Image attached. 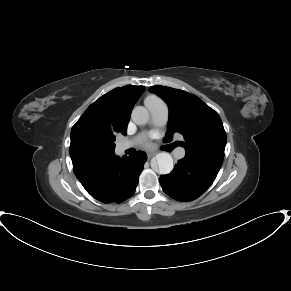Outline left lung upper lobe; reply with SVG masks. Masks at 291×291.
Returning a JSON list of instances; mask_svg holds the SVG:
<instances>
[{
	"instance_id": "obj_1",
	"label": "left lung upper lobe",
	"mask_w": 291,
	"mask_h": 291,
	"mask_svg": "<svg viewBox=\"0 0 291 291\" xmlns=\"http://www.w3.org/2000/svg\"><path fill=\"white\" fill-rule=\"evenodd\" d=\"M169 107L165 142L178 132L183 135L186 154L223 162L226 132L221 118L200 98L188 92L164 86H151Z\"/></svg>"
}]
</instances>
